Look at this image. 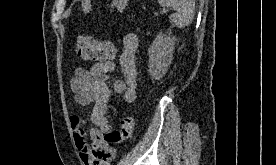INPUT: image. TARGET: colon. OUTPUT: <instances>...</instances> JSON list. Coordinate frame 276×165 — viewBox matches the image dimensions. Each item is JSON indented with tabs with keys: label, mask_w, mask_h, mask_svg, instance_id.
Wrapping results in <instances>:
<instances>
[{
	"label": "colon",
	"mask_w": 276,
	"mask_h": 165,
	"mask_svg": "<svg viewBox=\"0 0 276 165\" xmlns=\"http://www.w3.org/2000/svg\"><path fill=\"white\" fill-rule=\"evenodd\" d=\"M127 3L128 0H110L109 7L112 10L122 11ZM75 51L81 59L102 62L114 57L115 46L110 41H99L91 36L80 35L76 40ZM134 127L133 117L123 116L118 129L107 133L104 142L106 144L123 142L132 136Z\"/></svg>",
	"instance_id": "1"
}]
</instances>
